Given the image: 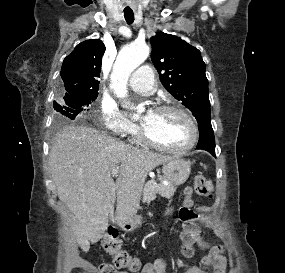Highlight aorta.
<instances>
[{
  "label": "aorta",
  "instance_id": "762f6f07",
  "mask_svg": "<svg viewBox=\"0 0 285 273\" xmlns=\"http://www.w3.org/2000/svg\"><path fill=\"white\" fill-rule=\"evenodd\" d=\"M148 56L149 47L145 43L134 42L121 49L111 74V87L115 90L117 97L124 98L126 96L129 76ZM137 111H142V107H138Z\"/></svg>",
  "mask_w": 285,
  "mask_h": 273
}]
</instances>
